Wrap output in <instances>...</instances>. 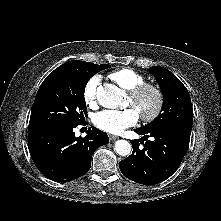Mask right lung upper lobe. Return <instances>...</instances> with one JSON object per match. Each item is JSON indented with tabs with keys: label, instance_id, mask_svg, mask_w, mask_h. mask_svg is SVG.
I'll list each match as a JSON object with an SVG mask.
<instances>
[{
	"label": "right lung upper lobe",
	"instance_id": "cb5924a9",
	"mask_svg": "<svg viewBox=\"0 0 221 221\" xmlns=\"http://www.w3.org/2000/svg\"><path fill=\"white\" fill-rule=\"evenodd\" d=\"M86 63L87 62H84V61L72 60V61L66 62L65 64L59 66L53 72H51L49 75H52L54 73H57V72H60L63 70L78 69V68H81Z\"/></svg>",
	"mask_w": 221,
	"mask_h": 221
}]
</instances>
